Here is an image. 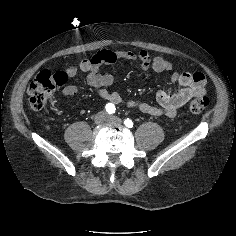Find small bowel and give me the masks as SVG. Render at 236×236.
<instances>
[{
  "mask_svg": "<svg viewBox=\"0 0 236 236\" xmlns=\"http://www.w3.org/2000/svg\"><path fill=\"white\" fill-rule=\"evenodd\" d=\"M139 61L140 68L143 71L153 70L156 73H165L172 71L170 61L161 56L151 57L146 50L134 51H116L101 50L90 58L80 61L77 67H68L64 73L68 78L76 76L78 71L87 74V84L94 88L96 93L102 99L112 104H125L130 108H136L141 112L152 116L174 117L181 107H183L193 97L201 96L205 93L207 83L206 76L202 72H174L171 75L173 87L162 89L157 93V104L153 105L147 102H140L133 99H124L119 93L109 91V87L115 82V73H101L102 64H113L118 60ZM177 86V88H176ZM78 88L74 85H68L63 88L61 95L71 97L78 94Z\"/></svg>",
  "mask_w": 236,
  "mask_h": 236,
  "instance_id": "obj_1",
  "label": "small bowel"
}]
</instances>
